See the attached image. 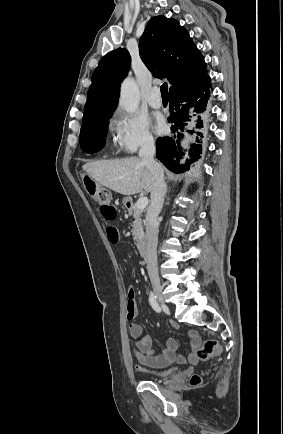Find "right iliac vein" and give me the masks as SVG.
Listing matches in <instances>:
<instances>
[{
	"label": "right iliac vein",
	"mask_w": 283,
	"mask_h": 434,
	"mask_svg": "<svg viewBox=\"0 0 283 434\" xmlns=\"http://www.w3.org/2000/svg\"><path fill=\"white\" fill-rule=\"evenodd\" d=\"M152 285H153L154 293H155L156 297L158 298L159 302L161 304L165 305V300H164V296H163V293H162L161 284L158 281H154L152 283Z\"/></svg>",
	"instance_id": "right-iliac-vein-1"
}]
</instances>
